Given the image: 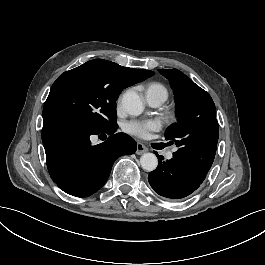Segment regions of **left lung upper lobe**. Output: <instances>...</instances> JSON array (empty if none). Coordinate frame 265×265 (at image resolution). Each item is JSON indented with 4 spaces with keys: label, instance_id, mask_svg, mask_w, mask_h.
Wrapping results in <instances>:
<instances>
[{
    "label": "left lung upper lobe",
    "instance_id": "obj_1",
    "mask_svg": "<svg viewBox=\"0 0 265 265\" xmlns=\"http://www.w3.org/2000/svg\"><path fill=\"white\" fill-rule=\"evenodd\" d=\"M171 84L177 122L165 132L166 140L179 148L174 158L206 176L215 158L219 127L210 95L177 69H160Z\"/></svg>",
    "mask_w": 265,
    "mask_h": 265
}]
</instances>
